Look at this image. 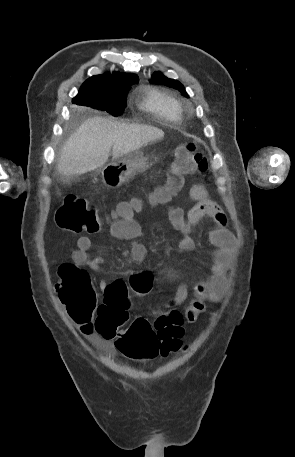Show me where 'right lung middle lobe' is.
I'll return each mask as SVG.
<instances>
[{
	"mask_svg": "<svg viewBox=\"0 0 295 457\" xmlns=\"http://www.w3.org/2000/svg\"><path fill=\"white\" fill-rule=\"evenodd\" d=\"M128 90L129 87L113 91L80 88L78 95L73 98V103L107 111L113 116H119L127 106Z\"/></svg>",
	"mask_w": 295,
	"mask_h": 457,
	"instance_id": "1",
	"label": "right lung middle lobe"
}]
</instances>
